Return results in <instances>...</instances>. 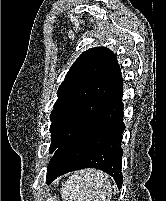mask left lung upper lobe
<instances>
[{"instance_id": "left-lung-upper-lobe-1", "label": "left lung upper lobe", "mask_w": 166, "mask_h": 201, "mask_svg": "<svg viewBox=\"0 0 166 201\" xmlns=\"http://www.w3.org/2000/svg\"><path fill=\"white\" fill-rule=\"evenodd\" d=\"M123 83L115 54L96 47L83 52L61 83L51 113L53 153L61 143L93 115Z\"/></svg>"}]
</instances>
